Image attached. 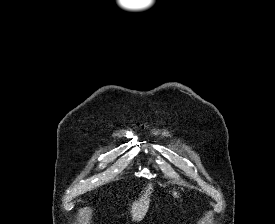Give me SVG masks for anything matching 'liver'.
<instances>
[{"label":"liver","instance_id":"1","mask_svg":"<svg viewBox=\"0 0 275 224\" xmlns=\"http://www.w3.org/2000/svg\"><path fill=\"white\" fill-rule=\"evenodd\" d=\"M152 185L149 184L146 190L144 191V194L139 198V200L133 202L132 209H131V216L133 221H141L148 209L149 204V196L151 194Z\"/></svg>","mask_w":275,"mask_h":224}]
</instances>
